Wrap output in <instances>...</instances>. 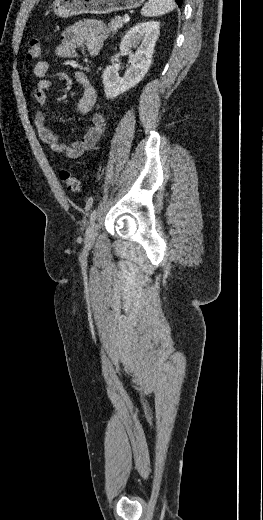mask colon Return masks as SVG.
Returning a JSON list of instances; mask_svg holds the SVG:
<instances>
[{
    "instance_id": "obj_1",
    "label": "colon",
    "mask_w": 263,
    "mask_h": 520,
    "mask_svg": "<svg viewBox=\"0 0 263 520\" xmlns=\"http://www.w3.org/2000/svg\"><path fill=\"white\" fill-rule=\"evenodd\" d=\"M43 54L42 44L39 39L29 41L27 58L30 60L40 59ZM59 178L65 184L68 191L78 193L81 190V183L69 170L60 169Z\"/></svg>"
}]
</instances>
